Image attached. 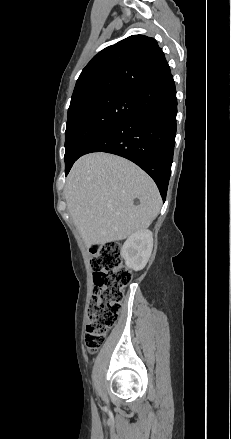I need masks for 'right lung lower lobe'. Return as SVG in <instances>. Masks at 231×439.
Listing matches in <instances>:
<instances>
[{
    "label": "right lung lower lobe",
    "instance_id": "right-lung-lower-lobe-1",
    "mask_svg": "<svg viewBox=\"0 0 231 439\" xmlns=\"http://www.w3.org/2000/svg\"><path fill=\"white\" fill-rule=\"evenodd\" d=\"M134 95L138 111L96 133L82 147L79 157L91 152H107L127 158L152 177L165 200L173 161L177 114L176 90L171 73ZM74 162L66 166V175Z\"/></svg>",
    "mask_w": 231,
    "mask_h": 439
}]
</instances>
